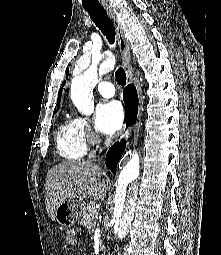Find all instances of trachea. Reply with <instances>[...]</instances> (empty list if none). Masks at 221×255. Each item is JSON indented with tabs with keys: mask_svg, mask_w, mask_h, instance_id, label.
I'll list each match as a JSON object with an SVG mask.
<instances>
[{
	"mask_svg": "<svg viewBox=\"0 0 221 255\" xmlns=\"http://www.w3.org/2000/svg\"><path fill=\"white\" fill-rule=\"evenodd\" d=\"M85 10L89 13L90 18L95 23V25L101 30V32L106 36L108 42L110 44H114L115 42V27L113 22L108 17L107 13L104 9H88ZM115 78L119 85L125 86L126 84V73L123 68H119L115 72Z\"/></svg>",
	"mask_w": 221,
	"mask_h": 255,
	"instance_id": "obj_1",
	"label": "trachea"
}]
</instances>
